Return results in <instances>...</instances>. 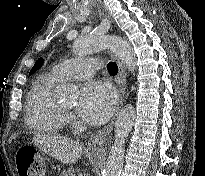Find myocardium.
Wrapping results in <instances>:
<instances>
[{"instance_id":"1","label":"myocardium","mask_w":205,"mask_h":176,"mask_svg":"<svg viewBox=\"0 0 205 176\" xmlns=\"http://www.w3.org/2000/svg\"><path fill=\"white\" fill-rule=\"evenodd\" d=\"M62 110H63L65 113L69 112V110H67V109H65V108H63V107H62Z\"/></svg>"}]
</instances>
